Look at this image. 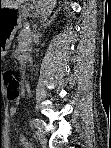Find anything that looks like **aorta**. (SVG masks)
I'll return each instance as SVG.
<instances>
[{
  "label": "aorta",
  "instance_id": "762f6f07",
  "mask_svg": "<svg viewBox=\"0 0 111 148\" xmlns=\"http://www.w3.org/2000/svg\"><path fill=\"white\" fill-rule=\"evenodd\" d=\"M55 0H43L39 9H38V15L41 22H44L47 20V18L50 16L52 9L54 7Z\"/></svg>",
  "mask_w": 111,
  "mask_h": 148
}]
</instances>
